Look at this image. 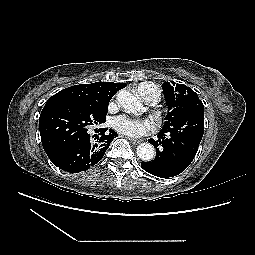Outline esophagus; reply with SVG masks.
Instances as JSON below:
<instances>
[{
    "instance_id": "34e87169",
    "label": "esophagus",
    "mask_w": 255,
    "mask_h": 255,
    "mask_svg": "<svg viewBox=\"0 0 255 255\" xmlns=\"http://www.w3.org/2000/svg\"><path fill=\"white\" fill-rule=\"evenodd\" d=\"M133 144H139L141 142L140 139L127 137Z\"/></svg>"
}]
</instances>
